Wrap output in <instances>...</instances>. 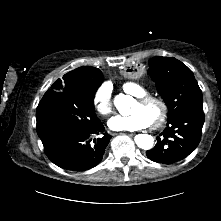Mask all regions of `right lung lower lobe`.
Masks as SVG:
<instances>
[{
  "label": "right lung lower lobe",
  "instance_id": "1",
  "mask_svg": "<svg viewBox=\"0 0 221 221\" xmlns=\"http://www.w3.org/2000/svg\"><path fill=\"white\" fill-rule=\"evenodd\" d=\"M104 126L99 121L94 127L80 131L44 148L48 158L61 168L72 171H86L99 164L111 136L103 133ZM103 134V135H101ZM100 135L98 138H94Z\"/></svg>",
  "mask_w": 221,
  "mask_h": 221
}]
</instances>
